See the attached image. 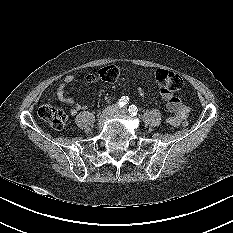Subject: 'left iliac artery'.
<instances>
[{
  "label": "left iliac artery",
  "instance_id": "obj_1",
  "mask_svg": "<svg viewBox=\"0 0 233 233\" xmlns=\"http://www.w3.org/2000/svg\"><path fill=\"white\" fill-rule=\"evenodd\" d=\"M128 111H129V114L131 116H136L137 112H138V109H137V107L135 105H131V106H129Z\"/></svg>",
  "mask_w": 233,
  "mask_h": 233
}]
</instances>
